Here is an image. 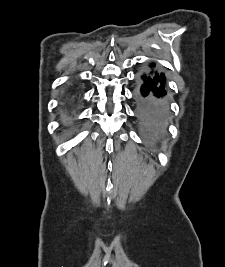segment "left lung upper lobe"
I'll use <instances>...</instances> for the list:
<instances>
[{"label": "left lung upper lobe", "mask_w": 225, "mask_h": 267, "mask_svg": "<svg viewBox=\"0 0 225 267\" xmlns=\"http://www.w3.org/2000/svg\"><path fill=\"white\" fill-rule=\"evenodd\" d=\"M138 114L140 122L145 130L149 132H162L165 129L166 124L163 125L153 121L151 115L148 113L147 110L143 108H138Z\"/></svg>", "instance_id": "5c2ea615"}]
</instances>
